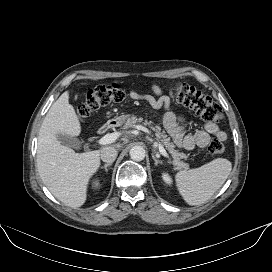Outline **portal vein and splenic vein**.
Masks as SVG:
<instances>
[{"mask_svg":"<svg viewBox=\"0 0 272 272\" xmlns=\"http://www.w3.org/2000/svg\"><path fill=\"white\" fill-rule=\"evenodd\" d=\"M137 130H142L144 132H148L147 128L141 126V125H137L136 126ZM120 136L119 132H114V133H110L107 134L105 136H103L102 138H100L98 140V144L99 145H107V144H111L113 143L118 137ZM158 149L159 152L166 158H168V153L166 152V150L164 149V147L161 144H158Z\"/></svg>","mask_w":272,"mask_h":272,"instance_id":"18ae733b","label":"portal vein and splenic vein"}]
</instances>
